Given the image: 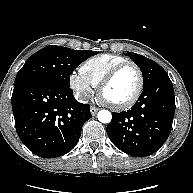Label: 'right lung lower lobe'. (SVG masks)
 I'll return each instance as SVG.
<instances>
[{
    "label": "right lung lower lobe",
    "mask_w": 193,
    "mask_h": 193,
    "mask_svg": "<svg viewBox=\"0 0 193 193\" xmlns=\"http://www.w3.org/2000/svg\"><path fill=\"white\" fill-rule=\"evenodd\" d=\"M12 109L21 141L42 158L70 152L83 124L92 117L90 106L77 102L69 86L47 80L14 86Z\"/></svg>",
    "instance_id": "1"
}]
</instances>
